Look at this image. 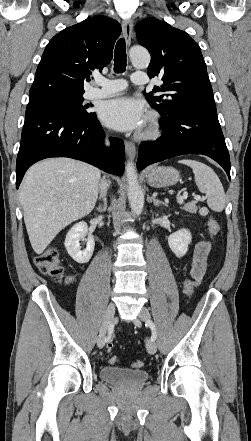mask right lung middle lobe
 <instances>
[{
  "mask_svg": "<svg viewBox=\"0 0 251 441\" xmlns=\"http://www.w3.org/2000/svg\"><path fill=\"white\" fill-rule=\"evenodd\" d=\"M83 95H54L48 98L33 102L41 106H46L67 113L79 119L89 118L93 113L87 111L89 105H82Z\"/></svg>",
  "mask_w": 251,
  "mask_h": 441,
  "instance_id": "dd1d6c3e",
  "label": "right lung middle lobe"
}]
</instances>
